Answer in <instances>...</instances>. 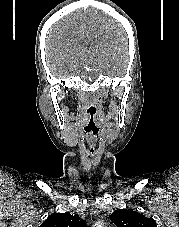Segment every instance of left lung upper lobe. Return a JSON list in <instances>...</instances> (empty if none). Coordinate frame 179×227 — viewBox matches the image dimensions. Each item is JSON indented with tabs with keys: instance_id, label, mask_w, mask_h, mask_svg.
<instances>
[{
	"instance_id": "obj_1",
	"label": "left lung upper lobe",
	"mask_w": 179,
	"mask_h": 227,
	"mask_svg": "<svg viewBox=\"0 0 179 227\" xmlns=\"http://www.w3.org/2000/svg\"><path fill=\"white\" fill-rule=\"evenodd\" d=\"M110 219L117 227H157L154 219L147 218L133 210L117 209Z\"/></svg>"
}]
</instances>
